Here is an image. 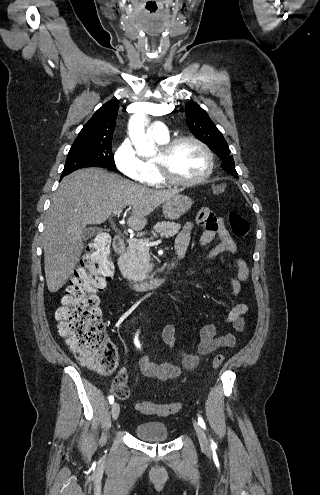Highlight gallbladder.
<instances>
[{"instance_id": "gallbladder-1", "label": "gallbladder", "mask_w": 320, "mask_h": 495, "mask_svg": "<svg viewBox=\"0 0 320 495\" xmlns=\"http://www.w3.org/2000/svg\"><path fill=\"white\" fill-rule=\"evenodd\" d=\"M100 231L101 230L98 227L95 226L88 227L82 233V240L90 239L95 235H97L98 233H100Z\"/></svg>"}]
</instances>
